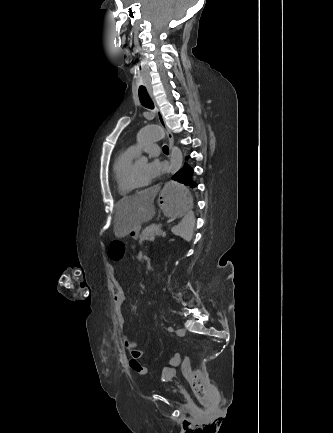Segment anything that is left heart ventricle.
I'll list each match as a JSON object with an SVG mask.
<instances>
[{
	"label": "left heart ventricle",
	"mask_w": 333,
	"mask_h": 433,
	"mask_svg": "<svg viewBox=\"0 0 333 433\" xmlns=\"http://www.w3.org/2000/svg\"><path fill=\"white\" fill-rule=\"evenodd\" d=\"M142 153H145L147 158L151 160L155 157V155L149 154L146 151ZM147 165H148V159L134 162V180L137 184H143L147 182V174H146Z\"/></svg>",
	"instance_id": "1"
}]
</instances>
